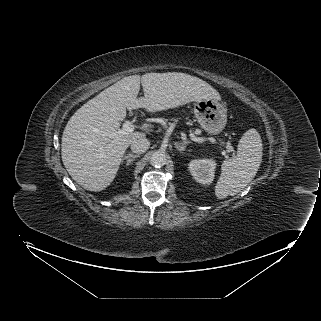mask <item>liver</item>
Masks as SVG:
<instances>
[{
    "instance_id": "1",
    "label": "liver",
    "mask_w": 321,
    "mask_h": 321,
    "mask_svg": "<svg viewBox=\"0 0 321 321\" xmlns=\"http://www.w3.org/2000/svg\"><path fill=\"white\" fill-rule=\"evenodd\" d=\"M142 85L144 97L138 98ZM220 100L207 82L178 72L125 77L79 108L62 136L63 164L73 180L90 191H101L114 180L125 150L144 132L115 135L126 109L159 112L202 99ZM144 124L142 128H146Z\"/></svg>"
}]
</instances>
